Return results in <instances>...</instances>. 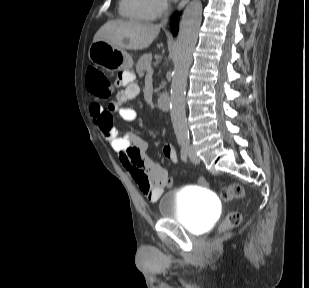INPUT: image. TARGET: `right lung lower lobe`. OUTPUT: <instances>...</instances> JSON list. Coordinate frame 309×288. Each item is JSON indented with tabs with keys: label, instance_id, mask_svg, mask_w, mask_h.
<instances>
[{
	"label": "right lung lower lobe",
	"instance_id": "right-lung-lower-lobe-1",
	"mask_svg": "<svg viewBox=\"0 0 309 288\" xmlns=\"http://www.w3.org/2000/svg\"><path fill=\"white\" fill-rule=\"evenodd\" d=\"M170 29L174 35H177L178 32V15L175 14L170 23Z\"/></svg>",
	"mask_w": 309,
	"mask_h": 288
}]
</instances>
